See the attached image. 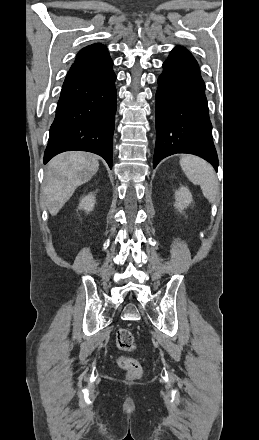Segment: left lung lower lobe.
<instances>
[{"instance_id":"1","label":"left lung lower lobe","mask_w":259,"mask_h":440,"mask_svg":"<svg viewBox=\"0 0 259 440\" xmlns=\"http://www.w3.org/2000/svg\"><path fill=\"white\" fill-rule=\"evenodd\" d=\"M155 114L154 168L169 155L188 153L207 160L217 170L205 83L196 60L183 47H175L163 64Z\"/></svg>"}]
</instances>
